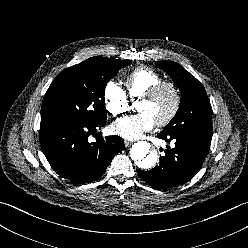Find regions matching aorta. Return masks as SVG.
<instances>
[{
	"label": "aorta",
	"instance_id": "1",
	"mask_svg": "<svg viewBox=\"0 0 248 248\" xmlns=\"http://www.w3.org/2000/svg\"><path fill=\"white\" fill-rule=\"evenodd\" d=\"M130 157L143 169H151L158 162L157 152L151 151V145L147 141L134 143L130 149Z\"/></svg>",
	"mask_w": 248,
	"mask_h": 248
}]
</instances>
